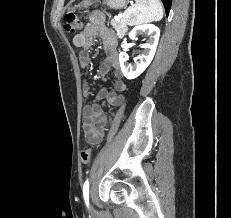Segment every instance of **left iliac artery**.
Segmentation results:
<instances>
[{"label":"left iliac artery","mask_w":231,"mask_h":218,"mask_svg":"<svg viewBox=\"0 0 231 218\" xmlns=\"http://www.w3.org/2000/svg\"><path fill=\"white\" fill-rule=\"evenodd\" d=\"M83 196L86 202V205L89 204V181H86L83 185Z\"/></svg>","instance_id":"1"}]
</instances>
